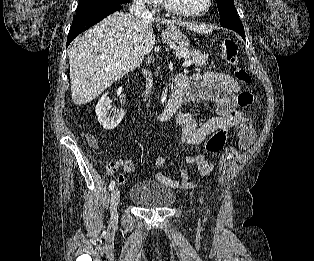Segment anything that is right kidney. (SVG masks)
<instances>
[{"label": "right kidney", "mask_w": 314, "mask_h": 261, "mask_svg": "<svg viewBox=\"0 0 314 261\" xmlns=\"http://www.w3.org/2000/svg\"><path fill=\"white\" fill-rule=\"evenodd\" d=\"M111 102V99L107 96V93H105L98 101L95 108L98 121L106 130H112L117 127L125 114L123 109H117L114 110V115L111 116L108 112Z\"/></svg>", "instance_id": "1"}]
</instances>
